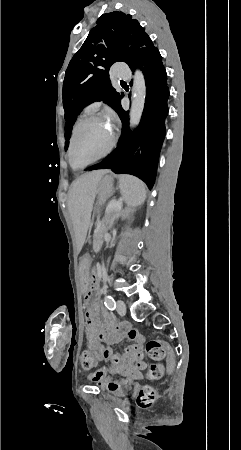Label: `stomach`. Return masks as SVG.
<instances>
[{"mask_svg":"<svg viewBox=\"0 0 241 450\" xmlns=\"http://www.w3.org/2000/svg\"><path fill=\"white\" fill-rule=\"evenodd\" d=\"M114 190L113 179L111 176H104L98 183V206H102ZM91 260L89 255H84L79 263V288L84 292L87 289L89 281V268Z\"/></svg>","mask_w":241,"mask_h":450,"instance_id":"stomach-1","label":"stomach"}]
</instances>
